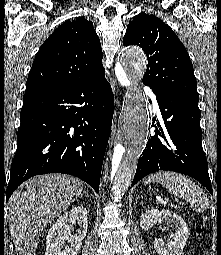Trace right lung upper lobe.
<instances>
[{
	"instance_id": "right-lung-upper-lobe-1",
	"label": "right lung upper lobe",
	"mask_w": 221,
	"mask_h": 255,
	"mask_svg": "<svg viewBox=\"0 0 221 255\" xmlns=\"http://www.w3.org/2000/svg\"><path fill=\"white\" fill-rule=\"evenodd\" d=\"M93 23L83 17L65 21L39 49L25 96L82 82L104 71L103 53Z\"/></svg>"
}]
</instances>
